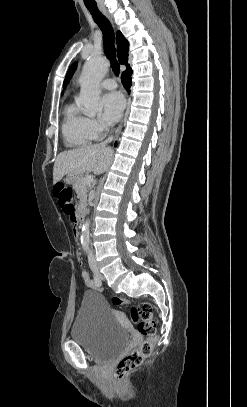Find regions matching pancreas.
I'll return each mask as SVG.
<instances>
[{"label": "pancreas", "mask_w": 247, "mask_h": 407, "mask_svg": "<svg viewBox=\"0 0 247 407\" xmlns=\"http://www.w3.org/2000/svg\"><path fill=\"white\" fill-rule=\"evenodd\" d=\"M73 188L80 199V207L86 205L87 193L90 190V185L85 183L84 178L80 177L74 184Z\"/></svg>", "instance_id": "cf45deb5"}]
</instances>
